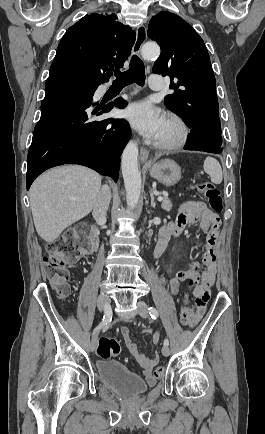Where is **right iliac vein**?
Instances as JSON below:
<instances>
[{
	"label": "right iliac vein",
	"instance_id": "63e3f726",
	"mask_svg": "<svg viewBox=\"0 0 265 434\" xmlns=\"http://www.w3.org/2000/svg\"><path fill=\"white\" fill-rule=\"evenodd\" d=\"M98 307L100 310H105L106 307L110 306V299L107 295H99L97 299ZM98 331L97 330L91 340V351L94 352L98 347Z\"/></svg>",
	"mask_w": 265,
	"mask_h": 434
}]
</instances>
